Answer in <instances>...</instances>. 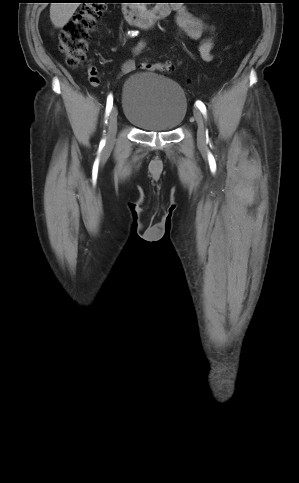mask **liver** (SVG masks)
I'll use <instances>...</instances> for the list:
<instances>
[{"label": "liver", "mask_w": 299, "mask_h": 483, "mask_svg": "<svg viewBox=\"0 0 299 483\" xmlns=\"http://www.w3.org/2000/svg\"><path fill=\"white\" fill-rule=\"evenodd\" d=\"M80 3H51L50 19L56 28L64 27Z\"/></svg>", "instance_id": "liver-1"}]
</instances>
